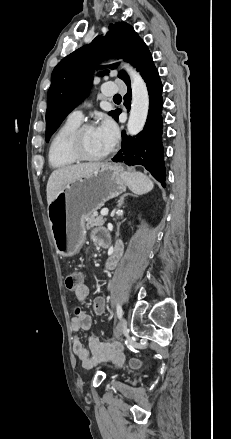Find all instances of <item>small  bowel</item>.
<instances>
[{
    "label": "small bowel",
    "mask_w": 231,
    "mask_h": 439,
    "mask_svg": "<svg viewBox=\"0 0 231 439\" xmlns=\"http://www.w3.org/2000/svg\"><path fill=\"white\" fill-rule=\"evenodd\" d=\"M92 240L97 244L103 246L104 243L110 244L111 239L105 229L97 228L92 231ZM123 252V245L120 241L111 244L108 258L106 260V270H113ZM71 291V289H69ZM92 290L91 283H78L75 287V297L79 303L85 302ZM78 296V297H77ZM92 312L95 315H103L105 313V299L101 296L97 297L92 304ZM91 316L82 308L76 307L74 316L70 320V327L73 331L72 346L73 352L79 359L82 366L91 368L100 362L112 361L116 364L121 363L123 355L120 353V347L110 346L103 343L96 336H89L88 348H86L79 336V331L88 332L91 329Z\"/></svg>",
    "instance_id": "small-bowel-1"
}]
</instances>
